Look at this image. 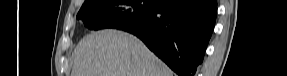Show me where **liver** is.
I'll return each mask as SVG.
<instances>
[{
  "label": "liver",
  "instance_id": "obj_1",
  "mask_svg": "<svg viewBox=\"0 0 287 76\" xmlns=\"http://www.w3.org/2000/svg\"><path fill=\"white\" fill-rule=\"evenodd\" d=\"M72 58L71 76H173L141 40L117 30L86 35Z\"/></svg>",
  "mask_w": 287,
  "mask_h": 76
}]
</instances>
